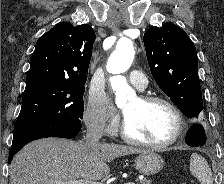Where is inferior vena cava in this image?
<instances>
[{
	"label": "inferior vena cava",
	"mask_w": 224,
	"mask_h": 184,
	"mask_svg": "<svg viewBox=\"0 0 224 184\" xmlns=\"http://www.w3.org/2000/svg\"><path fill=\"white\" fill-rule=\"evenodd\" d=\"M104 124L100 121L90 123L87 126V133L85 137V144L88 146H95L99 144L103 136Z\"/></svg>",
	"instance_id": "inferior-vena-cava-1"
}]
</instances>
